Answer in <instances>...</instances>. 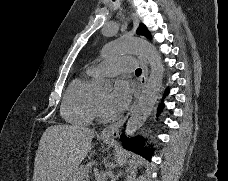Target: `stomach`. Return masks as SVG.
Instances as JSON below:
<instances>
[{"label": "stomach", "instance_id": "obj_1", "mask_svg": "<svg viewBox=\"0 0 228 181\" xmlns=\"http://www.w3.org/2000/svg\"><path fill=\"white\" fill-rule=\"evenodd\" d=\"M101 139L104 141V143H107V145H109L114 137H109V135H107V137H101Z\"/></svg>", "mask_w": 228, "mask_h": 181}]
</instances>
